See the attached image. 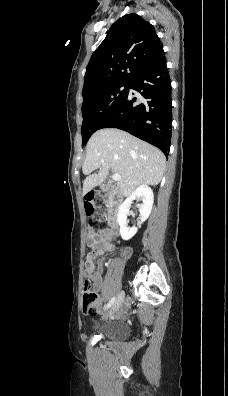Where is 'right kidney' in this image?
<instances>
[{
  "instance_id": "right-kidney-1",
  "label": "right kidney",
  "mask_w": 228,
  "mask_h": 396,
  "mask_svg": "<svg viewBox=\"0 0 228 396\" xmlns=\"http://www.w3.org/2000/svg\"><path fill=\"white\" fill-rule=\"evenodd\" d=\"M134 200L142 201L138 206L140 219L141 222L146 221L151 213L154 201L152 189L147 185L139 186L119 207L117 222L120 226V235L123 240H129L137 233L136 227L129 228L127 226V216L129 214L130 206Z\"/></svg>"
}]
</instances>
